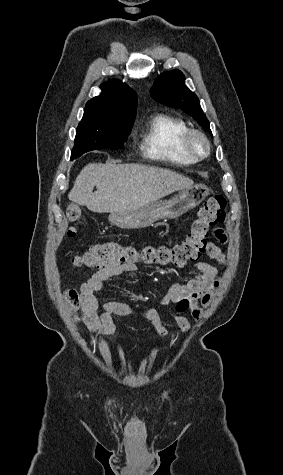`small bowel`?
<instances>
[{
	"label": "small bowel",
	"mask_w": 283,
	"mask_h": 475,
	"mask_svg": "<svg viewBox=\"0 0 283 475\" xmlns=\"http://www.w3.org/2000/svg\"><path fill=\"white\" fill-rule=\"evenodd\" d=\"M212 235L217 237L219 244H230L228 236L230 230L225 223H220L218 229L215 224L209 225ZM207 255L210 259L220 264L226 263V257L221 249L213 242H209L206 247ZM195 276L184 284L174 283L167 286L160 303L168 308L177 305L180 312V300L183 293H190L193 300L192 307H185L190 310L193 318L198 321L202 318V310L207 308L211 302L214 292L219 287L220 276L216 266L202 261L196 264ZM137 267L134 264L106 265L95 270L90 278L80 288V304L82 308V322L93 339L94 333L109 335L116 331L113 321L114 316L139 317L149 321L159 337L167 334L163 326L160 313L153 308L137 309L128 304L110 301L100 307L95 294L103 289L104 283L113 276L121 274H135ZM178 326L183 336L190 332V325L184 318L178 317Z\"/></svg>",
	"instance_id": "1"
}]
</instances>
